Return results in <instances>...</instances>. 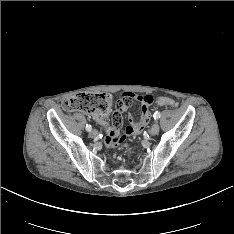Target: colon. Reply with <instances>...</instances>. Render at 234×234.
Listing matches in <instances>:
<instances>
[{
    "label": "colon",
    "instance_id": "5ec220e1",
    "mask_svg": "<svg viewBox=\"0 0 234 234\" xmlns=\"http://www.w3.org/2000/svg\"><path fill=\"white\" fill-rule=\"evenodd\" d=\"M148 100L150 99L148 98ZM155 101L165 106H176V102L167 97L157 96ZM112 104L113 100L109 94L81 93L64 101L62 107L66 112L80 111L88 114H96L105 119L111 111ZM140 129L142 130L143 127H140Z\"/></svg>",
    "mask_w": 234,
    "mask_h": 234
}]
</instances>
